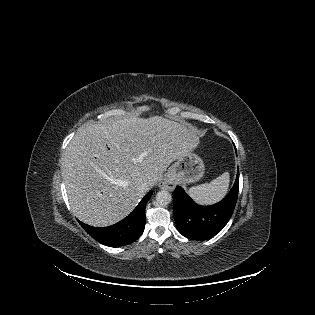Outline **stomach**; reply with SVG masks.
Wrapping results in <instances>:
<instances>
[{
  "mask_svg": "<svg viewBox=\"0 0 315 315\" xmlns=\"http://www.w3.org/2000/svg\"><path fill=\"white\" fill-rule=\"evenodd\" d=\"M204 163L196 154L190 153L179 158L164 176L168 183L190 184L199 181L204 175Z\"/></svg>",
  "mask_w": 315,
  "mask_h": 315,
  "instance_id": "obj_1",
  "label": "stomach"
}]
</instances>
